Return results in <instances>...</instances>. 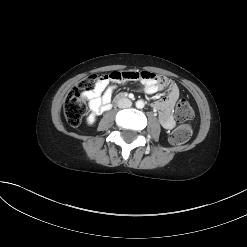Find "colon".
<instances>
[{
	"label": "colon",
	"mask_w": 247,
	"mask_h": 247,
	"mask_svg": "<svg viewBox=\"0 0 247 247\" xmlns=\"http://www.w3.org/2000/svg\"><path fill=\"white\" fill-rule=\"evenodd\" d=\"M100 75H91L78 83L76 88L71 91L64 102V115L67 122L72 127L80 125L86 110V98L84 93L91 90ZM176 118L180 121L190 120L194 116V110L189 102L181 98L175 108ZM192 130L187 124L178 126L169 137L173 145H181L189 140Z\"/></svg>",
	"instance_id": "colon-1"
}]
</instances>
